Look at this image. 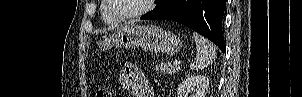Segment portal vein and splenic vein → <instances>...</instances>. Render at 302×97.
<instances>
[{"instance_id":"18ae733b","label":"portal vein and splenic vein","mask_w":302,"mask_h":97,"mask_svg":"<svg viewBox=\"0 0 302 97\" xmlns=\"http://www.w3.org/2000/svg\"><path fill=\"white\" fill-rule=\"evenodd\" d=\"M179 63H180L179 61L175 60V61L173 62V65H174V66H178Z\"/></svg>"}]
</instances>
